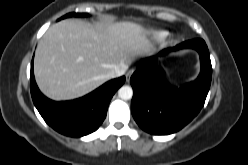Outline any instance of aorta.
Listing matches in <instances>:
<instances>
[{
  "label": "aorta",
  "instance_id": "762f6f07",
  "mask_svg": "<svg viewBox=\"0 0 248 165\" xmlns=\"http://www.w3.org/2000/svg\"><path fill=\"white\" fill-rule=\"evenodd\" d=\"M118 96L119 98H121L122 100H129L132 98L133 96V90L131 87L129 86H122L119 90H118Z\"/></svg>",
  "mask_w": 248,
  "mask_h": 165
}]
</instances>
